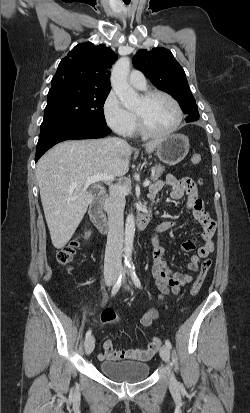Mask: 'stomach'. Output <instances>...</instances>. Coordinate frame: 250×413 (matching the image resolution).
I'll return each mask as SVG.
<instances>
[{
  "label": "stomach",
  "instance_id": "0dacf381",
  "mask_svg": "<svg viewBox=\"0 0 250 413\" xmlns=\"http://www.w3.org/2000/svg\"><path fill=\"white\" fill-rule=\"evenodd\" d=\"M156 155L165 164L181 162L189 151V139L183 134H172L158 140Z\"/></svg>",
  "mask_w": 250,
  "mask_h": 413
}]
</instances>
